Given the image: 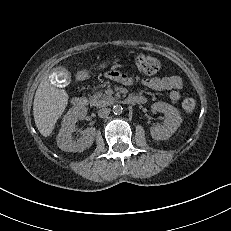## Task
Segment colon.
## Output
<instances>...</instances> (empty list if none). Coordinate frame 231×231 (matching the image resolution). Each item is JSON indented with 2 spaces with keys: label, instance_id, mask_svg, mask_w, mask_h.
Listing matches in <instances>:
<instances>
[{
  "label": "colon",
  "instance_id": "5ec220e1",
  "mask_svg": "<svg viewBox=\"0 0 231 231\" xmlns=\"http://www.w3.org/2000/svg\"><path fill=\"white\" fill-rule=\"evenodd\" d=\"M137 69L145 75H154L160 70V62L150 55L140 54L135 59ZM197 103L192 97H185L182 100V108L186 113H193L196 110Z\"/></svg>",
  "mask_w": 231,
  "mask_h": 231
}]
</instances>
